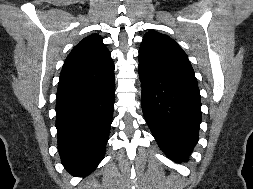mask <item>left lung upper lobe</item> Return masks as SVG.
Wrapping results in <instances>:
<instances>
[{
	"mask_svg": "<svg viewBox=\"0 0 253 189\" xmlns=\"http://www.w3.org/2000/svg\"><path fill=\"white\" fill-rule=\"evenodd\" d=\"M139 65L155 73L198 84L186 53L176 41L156 31L144 35L139 50Z\"/></svg>",
	"mask_w": 253,
	"mask_h": 189,
	"instance_id": "1",
	"label": "left lung upper lobe"
}]
</instances>
